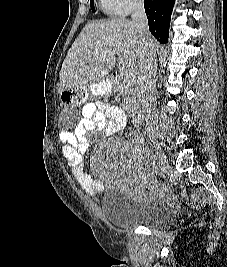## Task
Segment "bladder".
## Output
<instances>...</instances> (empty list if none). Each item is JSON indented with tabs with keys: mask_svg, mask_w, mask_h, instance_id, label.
<instances>
[{
	"mask_svg": "<svg viewBox=\"0 0 227 267\" xmlns=\"http://www.w3.org/2000/svg\"><path fill=\"white\" fill-rule=\"evenodd\" d=\"M101 208L107 221L121 229L161 226L174 221L170 206L159 200H137L115 187L104 191Z\"/></svg>",
	"mask_w": 227,
	"mask_h": 267,
	"instance_id": "bladder-1",
	"label": "bladder"
}]
</instances>
